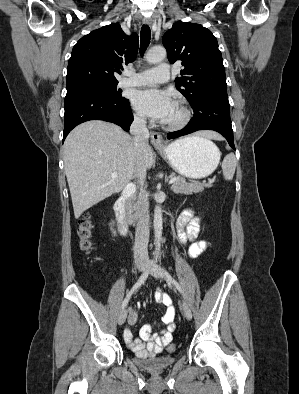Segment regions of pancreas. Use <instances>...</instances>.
<instances>
[{
  "label": "pancreas",
  "instance_id": "obj_1",
  "mask_svg": "<svg viewBox=\"0 0 299 394\" xmlns=\"http://www.w3.org/2000/svg\"><path fill=\"white\" fill-rule=\"evenodd\" d=\"M172 178H177V181L173 183L172 190L175 193H182L186 195H191L192 193L202 192L204 187H211L212 184L206 183H187L184 179L176 177L174 174H171ZM138 202H133L129 207V213L136 217L138 215Z\"/></svg>",
  "mask_w": 299,
  "mask_h": 394
}]
</instances>
